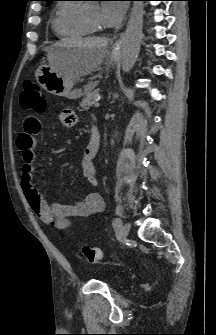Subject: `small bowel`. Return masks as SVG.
Wrapping results in <instances>:
<instances>
[{
    "instance_id": "small-bowel-1",
    "label": "small bowel",
    "mask_w": 216,
    "mask_h": 335,
    "mask_svg": "<svg viewBox=\"0 0 216 335\" xmlns=\"http://www.w3.org/2000/svg\"><path fill=\"white\" fill-rule=\"evenodd\" d=\"M60 120L65 126L76 123V118L70 109L60 112ZM41 121L35 117H29L24 121L23 131L17 138V145L21 151L22 160V189L26 200L37 217L46 225L57 229H67L75 218H83L101 212L104 203L97 193L89 194L85 199L74 204H63L50 201L42 193L35 180V147L36 137L41 130ZM100 139L94 140L90 135L82 158V170L86 181L97 185L96 167L93 159L97 155Z\"/></svg>"
}]
</instances>
